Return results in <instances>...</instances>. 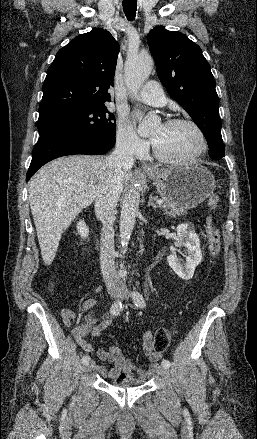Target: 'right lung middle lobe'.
Here are the masks:
<instances>
[{
  "instance_id": "dd1d6c3e",
  "label": "right lung middle lobe",
  "mask_w": 257,
  "mask_h": 439,
  "mask_svg": "<svg viewBox=\"0 0 257 439\" xmlns=\"http://www.w3.org/2000/svg\"><path fill=\"white\" fill-rule=\"evenodd\" d=\"M116 120L105 106L96 105L39 119V134L69 129L97 134L115 140Z\"/></svg>"
}]
</instances>
